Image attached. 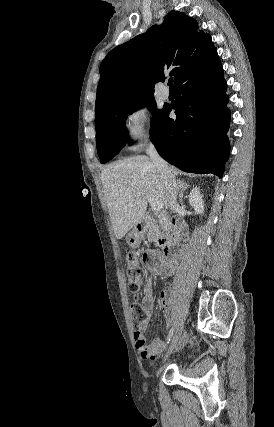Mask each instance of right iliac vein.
<instances>
[{"instance_id": "63e3f726", "label": "right iliac vein", "mask_w": 274, "mask_h": 427, "mask_svg": "<svg viewBox=\"0 0 274 427\" xmlns=\"http://www.w3.org/2000/svg\"><path fill=\"white\" fill-rule=\"evenodd\" d=\"M183 322L179 325V327L177 328V330H176V332H175V334H174V336H173V338H172V341H171V345H170V347L168 348V350H167V352H166V354H165V356H164V358H163V361L165 362V361H167L169 358H170V356H171V354H172V352H173V350L176 348V347H181V344L184 342V337H183V335H182V332H183Z\"/></svg>"}]
</instances>
